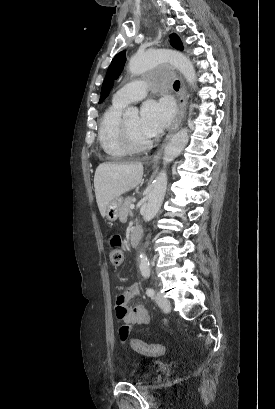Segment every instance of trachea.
<instances>
[{
  "label": "trachea",
  "instance_id": "1",
  "mask_svg": "<svg viewBox=\"0 0 275 409\" xmlns=\"http://www.w3.org/2000/svg\"><path fill=\"white\" fill-rule=\"evenodd\" d=\"M173 88H174V90H179V88H180V82H179V80H176V81L174 82Z\"/></svg>",
  "mask_w": 275,
  "mask_h": 409
}]
</instances>
